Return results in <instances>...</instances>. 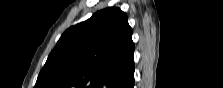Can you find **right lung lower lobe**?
<instances>
[{"label":"right lung lower lobe","instance_id":"obj_1","mask_svg":"<svg viewBox=\"0 0 223 88\" xmlns=\"http://www.w3.org/2000/svg\"><path fill=\"white\" fill-rule=\"evenodd\" d=\"M134 86V80L127 86V88H133Z\"/></svg>","mask_w":223,"mask_h":88}]
</instances>
